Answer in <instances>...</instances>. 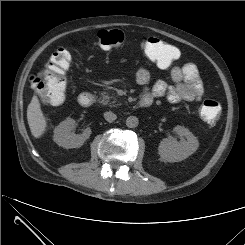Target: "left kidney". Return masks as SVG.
Returning <instances> with one entry per match:
<instances>
[{"mask_svg":"<svg viewBox=\"0 0 245 245\" xmlns=\"http://www.w3.org/2000/svg\"><path fill=\"white\" fill-rule=\"evenodd\" d=\"M173 133L180 137V141L170 136L159 144L158 152L163 161H182L193 154L199 146L197 138L187 128L178 125L173 128Z\"/></svg>","mask_w":245,"mask_h":245,"instance_id":"5707ae66","label":"left kidney"}]
</instances>
